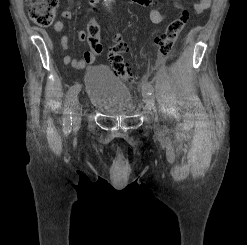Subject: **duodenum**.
Instances as JSON below:
<instances>
[{
    "label": "duodenum",
    "mask_w": 247,
    "mask_h": 245,
    "mask_svg": "<svg viewBox=\"0 0 247 245\" xmlns=\"http://www.w3.org/2000/svg\"><path fill=\"white\" fill-rule=\"evenodd\" d=\"M95 2H99L100 0H94Z\"/></svg>",
    "instance_id": "410a0bca"
}]
</instances>
